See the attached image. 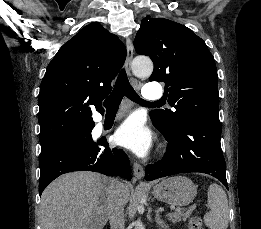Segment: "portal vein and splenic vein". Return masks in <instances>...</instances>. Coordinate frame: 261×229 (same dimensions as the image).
<instances>
[{"instance_id": "obj_1", "label": "portal vein and splenic vein", "mask_w": 261, "mask_h": 229, "mask_svg": "<svg viewBox=\"0 0 261 229\" xmlns=\"http://www.w3.org/2000/svg\"><path fill=\"white\" fill-rule=\"evenodd\" d=\"M202 207H203V208H208V207H209V204H208V203H203V204H202ZM177 213H181V210H177ZM168 217H170V215H168Z\"/></svg>"}]
</instances>
